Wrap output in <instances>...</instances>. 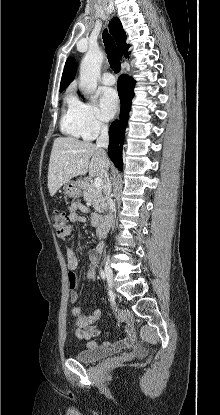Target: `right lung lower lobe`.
<instances>
[{
    "label": "right lung lower lobe",
    "mask_w": 220,
    "mask_h": 415,
    "mask_svg": "<svg viewBox=\"0 0 220 415\" xmlns=\"http://www.w3.org/2000/svg\"><path fill=\"white\" fill-rule=\"evenodd\" d=\"M135 80L128 75H121L117 83L118 94L121 100L120 121H115L109 128L108 156L115 166L122 169V145L128 114L131 108V100L134 96Z\"/></svg>",
    "instance_id": "1"
}]
</instances>
